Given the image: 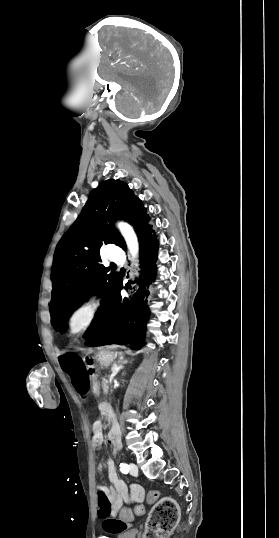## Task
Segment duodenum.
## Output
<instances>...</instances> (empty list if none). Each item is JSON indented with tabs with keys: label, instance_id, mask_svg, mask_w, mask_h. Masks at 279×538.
Returning <instances> with one entry per match:
<instances>
[{
	"label": "duodenum",
	"instance_id": "410a0bca",
	"mask_svg": "<svg viewBox=\"0 0 279 538\" xmlns=\"http://www.w3.org/2000/svg\"><path fill=\"white\" fill-rule=\"evenodd\" d=\"M90 377H92V385L97 387L99 385L97 373L95 371L90 372ZM98 409H100V414H111V409H108V406L105 405V401H100V406H98Z\"/></svg>",
	"mask_w": 279,
	"mask_h": 538
}]
</instances>
